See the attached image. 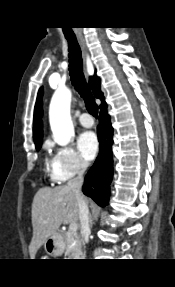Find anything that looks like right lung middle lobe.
Wrapping results in <instances>:
<instances>
[{"mask_svg":"<svg viewBox=\"0 0 175 287\" xmlns=\"http://www.w3.org/2000/svg\"><path fill=\"white\" fill-rule=\"evenodd\" d=\"M42 142L35 143L36 150H39L41 148Z\"/></svg>","mask_w":175,"mask_h":287,"instance_id":"1","label":"right lung middle lobe"}]
</instances>
